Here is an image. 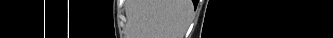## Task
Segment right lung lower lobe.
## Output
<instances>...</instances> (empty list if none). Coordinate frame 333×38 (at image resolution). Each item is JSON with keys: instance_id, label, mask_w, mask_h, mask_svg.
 <instances>
[{"instance_id": "right-lung-lower-lobe-1", "label": "right lung lower lobe", "mask_w": 333, "mask_h": 38, "mask_svg": "<svg viewBox=\"0 0 333 38\" xmlns=\"http://www.w3.org/2000/svg\"><path fill=\"white\" fill-rule=\"evenodd\" d=\"M194 5H196V2L193 0Z\"/></svg>"}]
</instances>
